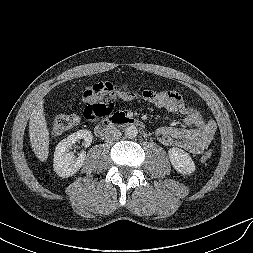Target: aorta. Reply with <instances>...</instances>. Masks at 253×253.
Returning <instances> with one entry per match:
<instances>
[{"label": "aorta", "instance_id": "aorta-1", "mask_svg": "<svg viewBox=\"0 0 253 253\" xmlns=\"http://www.w3.org/2000/svg\"><path fill=\"white\" fill-rule=\"evenodd\" d=\"M124 134L126 138L133 139L137 136L138 130L134 125H131L125 128Z\"/></svg>", "mask_w": 253, "mask_h": 253}]
</instances>
